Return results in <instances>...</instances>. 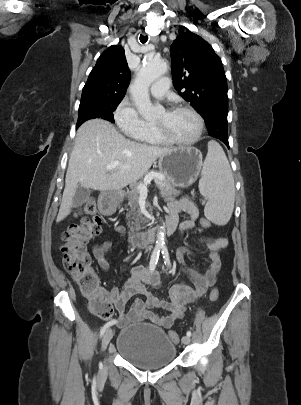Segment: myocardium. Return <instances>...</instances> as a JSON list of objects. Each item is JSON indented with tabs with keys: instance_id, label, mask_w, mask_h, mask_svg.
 <instances>
[{
	"instance_id": "1",
	"label": "myocardium",
	"mask_w": 301,
	"mask_h": 405,
	"mask_svg": "<svg viewBox=\"0 0 301 405\" xmlns=\"http://www.w3.org/2000/svg\"><path fill=\"white\" fill-rule=\"evenodd\" d=\"M173 110L187 111L195 117V119L197 121L196 134L191 139H187V140L178 139V138L172 136L171 134H169L162 126H160L158 124H153V127H154L156 133L168 143L177 144V145H192V144L196 143L202 136V133L204 130V121H203L202 116L199 114V112L197 110H195L193 107H190L188 105H177V106L173 107L170 111H173Z\"/></svg>"
}]
</instances>
